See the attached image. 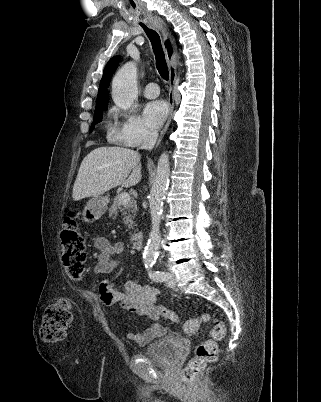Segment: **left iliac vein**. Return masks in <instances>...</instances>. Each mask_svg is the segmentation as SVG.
Returning <instances> with one entry per match:
<instances>
[{
	"instance_id": "4c4485c4",
	"label": "left iliac vein",
	"mask_w": 321,
	"mask_h": 402,
	"mask_svg": "<svg viewBox=\"0 0 321 402\" xmlns=\"http://www.w3.org/2000/svg\"><path fill=\"white\" fill-rule=\"evenodd\" d=\"M166 283L170 288H174L176 286L175 274L172 271L168 272V280Z\"/></svg>"
}]
</instances>
